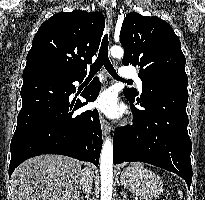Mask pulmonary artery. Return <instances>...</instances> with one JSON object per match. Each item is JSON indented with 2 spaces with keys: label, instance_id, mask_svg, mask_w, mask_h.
Masks as SVG:
<instances>
[{
  "label": "pulmonary artery",
  "instance_id": "e3ab8cb5",
  "mask_svg": "<svg viewBox=\"0 0 205 200\" xmlns=\"http://www.w3.org/2000/svg\"><path fill=\"white\" fill-rule=\"evenodd\" d=\"M118 74H119V77L123 79H135L138 88L139 89L142 88V81L134 70L127 68V67H122L119 69Z\"/></svg>",
  "mask_w": 205,
  "mask_h": 200
}]
</instances>
